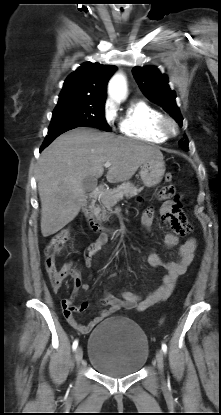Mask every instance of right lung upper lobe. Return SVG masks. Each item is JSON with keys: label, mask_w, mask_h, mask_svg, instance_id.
<instances>
[{"label": "right lung upper lobe", "mask_w": 221, "mask_h": 415, "mask_svg": "<svg viewBox=\"0 0 221 415\" xmlns=\"http://www.w3.org/2000/svg\"><path fill=\"white\" fill-rule=\"evenodd\" d=\"M115 70L113 65L86 62L67 77L60 96L105 100L106 86Z\"/></svg>", "instance_id": "1"}]
</instances>
